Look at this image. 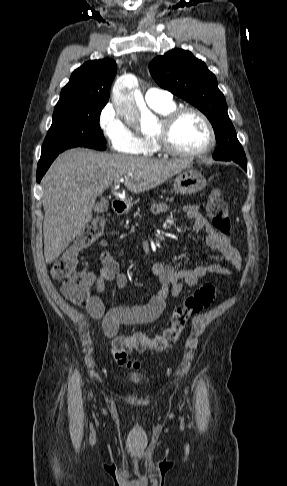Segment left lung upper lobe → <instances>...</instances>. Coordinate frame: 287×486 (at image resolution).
<instances>
[{
  "label": "left lung upper lobe",
  "mask_w": 287,
  "mask_h": 486,
  "mask_svg": "<svg viewBox=\"0 0 287 486\" xmlns=\"http://www.w3.org/2000/svg\"><path fill=\"white\" fill-rule=\"evenodd\" d=\"M149 70L162 88L193 104L210 120L219 144L213 154L215 160H246L228 116L224 95L204 62L190 51L174 49L153 59Z\"/></svg>",
  "instance_id": "obj_1"
}]
</instances>
